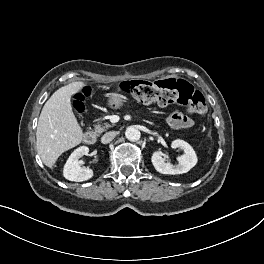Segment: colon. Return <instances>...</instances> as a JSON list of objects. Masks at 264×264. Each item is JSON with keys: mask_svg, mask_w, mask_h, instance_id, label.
Wrapping results in <instances>:
<instances>
[{"mask_svg": "<svg viewBox=\"0 0 264 264\" xmlns=\"http://www.w3.org/2000/svg\"><path fill=\"white\" fill-rule=\"evenodd\" d=\"M119 88L144 104L156 103L162 106L176 103L187 106L191 114H202L206 111L202 93L183 79H165L159 81L127 80ZM84 94L77 96L74 105L77 112L83 111Z\"/></svg>", "mask_w": 264, "mask_h": 264, "instance_id": "obj_1", "label": "colon"}]
</instances>
